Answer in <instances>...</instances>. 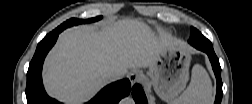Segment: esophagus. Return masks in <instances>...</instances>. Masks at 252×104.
<instances>
[{"mask_svg":"<svg viewBox=\"0 0 252 104\" xmlns=\"http://www.w3.org/2000/svg\"><path fill=\"white\" fill-rule=\"evenodd\" d=\"M141 77H142V72L139 71V70H134V71H132V72L129 74V76H128V78H129L131 84L137 82Z\"/></svg>","mask_w":252,"mask_h":104,"instance_id":"34e87169","label":"esophagus"}]
</instances>
